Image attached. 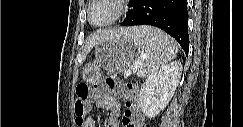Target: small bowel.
<instances>
[{"label":"small bowel","instance_id":"c3829d8e","mask_svg":"<svg viewBox=\"0 0 243 127\" xmlns=\"http://www.w3.org/2000/svg\"><path fill=\"white\" fill-rule=\"evenodd\" d=\"M95 106L98 109H105L109 111V115L107 118V127H118L119 126V118L121 114V104L119 100L113 97H105L99 98L95 101ZM84 127H95V120L92 117H89L84 122Z\"/></svg>","mask_w":243,"mask_h":127}]
</instances>
